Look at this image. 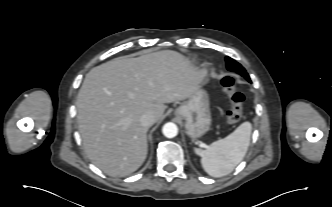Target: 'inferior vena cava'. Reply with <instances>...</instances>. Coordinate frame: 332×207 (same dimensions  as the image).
<instances>
[{
	"label": "inferior vena cava",
	"mask_w": 332,
	"mask_h": 207,
	"mask_svg": "<svg viewBox=\"0 0 332 207\" xmlns=\"http://www.w3.org/2000/svg\"><path fill=\"white\" fill-rule=\"evenodd\" d=\"M140 122L143 127L148 129L155 123V117L151 113H146L141 116Z\"/></svg>",
	"instance_id": "inferior-vena-cava-1"
}]
</instances>
